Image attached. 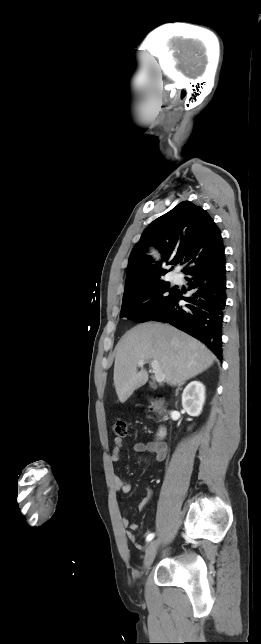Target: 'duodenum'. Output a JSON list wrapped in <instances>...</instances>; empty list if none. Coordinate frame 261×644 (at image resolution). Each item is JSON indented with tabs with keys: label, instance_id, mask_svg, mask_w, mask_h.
<instances>
[{
	"label": "duodenum",
	"instance_id": "1",
	"mask_svg": "<svg viewBox=\"0 0 261 644\" xmlns=\"http://www.w3.org/2000/svg\"><path fill=\"white\" fill-rule=\"evenodd\" d=\"M165 436H166V428L164 426H160L156 432L157 442L160 443Z\"/></svg>",
	"mask_w": 261,
	"mask_h": 644
}]
</instances>
